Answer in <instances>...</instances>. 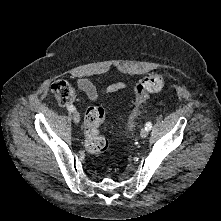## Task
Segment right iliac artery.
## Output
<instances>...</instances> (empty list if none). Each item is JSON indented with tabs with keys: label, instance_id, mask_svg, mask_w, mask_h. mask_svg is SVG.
Wrapping results in <instances>:
<instances>
[{
	"label": "right iliac artery",
	"instance_id": "82829eb1",
	"mask_svg": "<svg viewBox=\"0 0 221 221\" xmlns=\"http://www.w3.org/2000/svg\"><path fill=\"white\" fill-rule=\"evenodd\" d=\"M67 109H68V111H70V112H74V111L76 110L73 105H68V106H67Z\"/></svg>",
	"mask_w": 221,
	"mask_h": 221
}]
</instances>
